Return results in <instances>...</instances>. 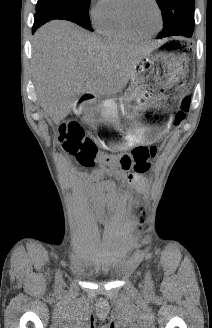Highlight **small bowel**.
<instances>
[{"label":"small bowel","instance_id":"obj_1","mask_svg":"<svg viewBox=\"0 0 212 328\" xmlns=\"http://www.w3.org/2000/svg\"><path fill=\"white\" fill-rule=\"evenodd\" d=\"M129 170H112V173H98L97 170L90 176L81 174L78 177V185L82 194L87 199L93 200L94 216L103 223L104 222V210L107 202L116 204L118 202V194L116 185L113 181L104 180V176H115L117 179L123 180L127 185L133 186L138 183L142 176L139 172L129 173Z\"/></svg>","mask_w":212,"mask_h":328}]
</instances>
